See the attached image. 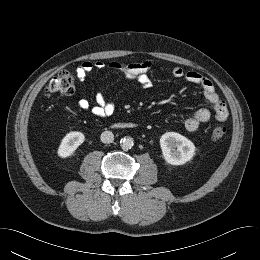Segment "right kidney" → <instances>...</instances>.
I'll return each mask as SVG.
<instances>
[{"label":"right kidney","instance_id":"obj_1","mask_svg":"<svg viewBox=\"0 0 260 260\" xmlns=\"http://www.w3.org/2000/svg\"><path fill=\"white\" fill-rule=\"evenodd\" d=\"M84 141L85 136L82 132L72 131L67 133L57 150L58 156L61 158L71 156Z\"/></svg>","mask_w":260,"mask_h":260}]
</instances>
